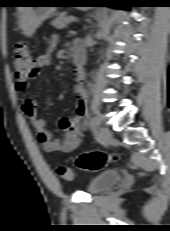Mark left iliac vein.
<instances>
[{
    "label": "left iliac vein",
    "mask_w": 170,
    "mask_h": 231,
    "mask_svg": "<svg viewBox=\"0 0 170 231\" xmlns=\"http://www.w3.org/2000/svg\"><path fill=\"white\" fill-rule=\"evenodd\" d=\"M99 134H100V137L102 138V140L105 142L110 141L112 138V133H111L110 129L107 127H101L99 129Z\"/></svg>",
    "instance_id": "4c4485c4"
}]
</instances>
